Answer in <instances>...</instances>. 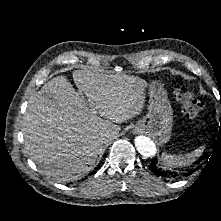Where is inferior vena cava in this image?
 Instances as JSON below:
<instances>
[{
	"label": "inferior vena cava",
	"mask_w": 221,
	"mask_h": 221,
	"mask_svg": "<svg viewBox=\"0 0 221 221\" xmlns=\"http://www.w3.org/2000/svg\"><path fill=\"white\" fill-rule=\"evenodd\" d=\"M103 137H104L105 139H109V140L114 139L113 136H112V134H110V133H108V132L104 133V134H103Z\"/></svg>",
	"instance_id": "602c4592"
}]
</instances>
